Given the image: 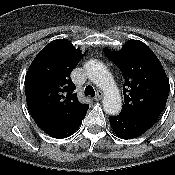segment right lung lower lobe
<instances>
[{
  "label": "right lung lower lobe",
  "instance_id": "obj_1",
  "mask_svg": "<svg viewBox=\"0 0 175 175\" xmlns=\"http://www.w3.org/2000/svg\"><path fill=\"white\" fill-rule=\"evenodd\" d=\"M85 115L86 113L75 121L58 122L54 125L42 127V129L53 138H65L71 136L78 129Z\"/></svg>",
  "mask_w": 175,
  "mask_h": 175
}]
</instances>
